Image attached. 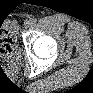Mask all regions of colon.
I'll use <instances>...</instances> for the list:
<instances>
[{
  "mask_svg": "<svg viewBox=\"0 0 93 93\" xmlns=\"http://www.w3.org/2000/svg\"><path fill=\"white\" fill-rule=\"evenodd\" d=\"M13 31L11 28L4 27L1 32V53L3 56H7L10 54L11 47L13 46Z\"/></svg>",
  "mask_w": 93,
  "mask_h": 93,
  "instance_id": "colon-1",
  "label": "colon"
}]
</instances>
